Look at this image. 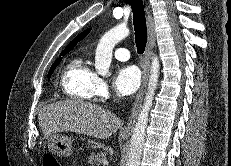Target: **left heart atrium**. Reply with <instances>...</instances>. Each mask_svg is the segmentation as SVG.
<instances>
[{"label": "left heart atrium", "mask_w": 231, "mask_h": 166, "mask_svg": "<svg viewBox=\"0 0 231 166\" xmlns=\"http://www.w3.org/2000/svg\"><path fill=\"white\" fill-rule=\"evenodd\" d=\"M141 82V73L136 66L126 65L119 68L114 85L117 91L122 95H130L134 93Z\"/></svg>", "instance_id": "obj_1"}]
</instances>
